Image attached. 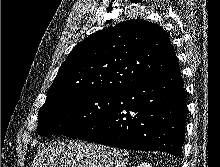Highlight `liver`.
Instances as JSON below:
<instances>
[{
    "mask_svg": "<svg viewBox=\"0 0 220 167\" xmlns=\"http://www.w3.org/2000/svg\"><path fill=\"white\" fill-rule=\"evenodd\" d=\"M128 152L74 140L43 145L31 167H127Z\"/></svg>",
    "mask_w": 220,
    "mask_h": 167,
    "instance_id": "6515ba94",
    "label": "liver"
}]
</instances>
